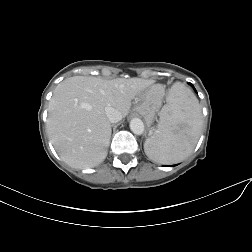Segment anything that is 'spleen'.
Instances as JSON below:
<instances>
[{
  "mask_svg": "<svg viewBox=\"0 0 252 252\" xmlns=\"http://www.w3.org/2000/svg\"><path fill=\"white\" fill-rule=\"evenodd\" d=\"M202 114L195 95L182 83L169 90L160 123L146 139L147 156L160 164H173L186 159L195 148L202 128Z\"/></svg>",
  "mask_w": 252,
  "mask_h": 252,
  "instance_id": "1",
  "label": "spleen"
}]
</instances>
